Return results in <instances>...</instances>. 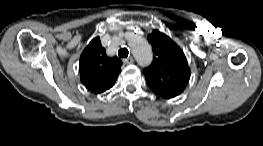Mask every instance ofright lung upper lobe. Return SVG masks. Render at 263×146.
<instances>
[{
    "mask_svg": "<svg viewBox=\"0 0 263 146\" xmlns=\"http://www.w3.org/2000/svg\"><path fill=\"white\" fill-rule=\"evenodd\" d=\"M122 61L108 57L99 37L94 38L81 54L79 61L80 79L91 92L98 94L111 88L119 73Z\"/></svg>",
    "mask_w": 263,
    "mask_h": 146,
    "instance_id": "1",
    "label": "right lung upper lobe"
}]
</instances>
